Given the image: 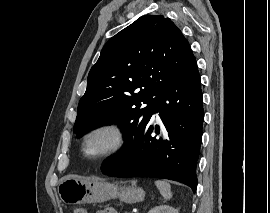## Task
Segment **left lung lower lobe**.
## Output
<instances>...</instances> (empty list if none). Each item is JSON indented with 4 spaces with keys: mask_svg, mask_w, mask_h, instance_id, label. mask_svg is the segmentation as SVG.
Masks as SVG:
<instances>
[{
    "mask_svg": "<svg viewBox=\"0 0 270 213\" xmlns=\"http://www.w3.org/2000/svg\"><path fill=\"white\" fill-rule=\"evenodd\" d=\"M159 112L163 127L152 137L149 122L120 153L109 157L102 173L114 177L164 178L197 188L196 166L204 119L200 76L195 63L177 76L156 98L153 114ZM152 114V115H153ZM155 132L160 133L159 127Z\"/></svg>",
    "mask_w": 270,
    "mask_h": 213,
    "instance_id": "left-lung-lower-lobe-1",
    "label": "left lung lower lobe"
}]
</instances>
